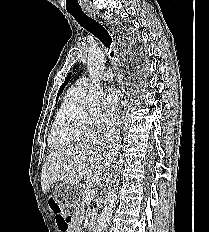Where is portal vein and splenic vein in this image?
<instances>
[{
    "label": "portal vein and splenic vein",
    "mask_w": 209,
    "mask_h": 232,
    "mask_svg": "<svg viewBox=\"0 0 209 232\" xmlns=\"http://www.w3.org/2000/svg\"><path fill=\"white\" fill-rule=\"evenodd\" d=\"M95 196V190L94 189H90L86 195L83 197V199L86 201V202H89L91 200H93Z\"/></svg>",
    "instance_id": "1"
}]
</instances>
